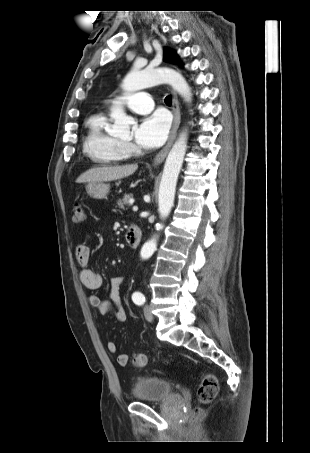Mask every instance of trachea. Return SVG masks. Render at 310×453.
Listing matches in <instances>:
<instances>
[{
  "mask_svg": "<svg viewBox=\"0 0 310 453\" xmlns=\"http://www.w3.org/2000/svg\"><path fill=\"white\" fill-rule=\"evenodd\" d=\"M164 101H165V103H166L167 105H171V103H172V96H171V95H168V96L165 98Z\"/></svg>",
  "mask_w": 310,
  "mask_h": 453,
  "instance_id": "trachea-1",
  "label": "trachea"
}]
</instances>
